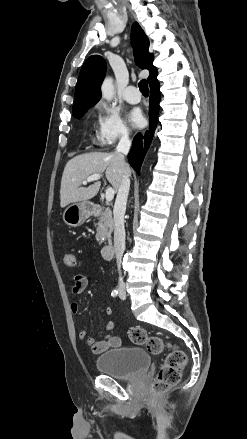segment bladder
<instances>
[{
	"label": "bladder",
	"instance_id": "1",
	"mask_svg": "<svg viewBox=\"0 0 247 439\" xmlns=\"http://www.w3.org/2000/svg\"><path fill=\"white\" fill-rule=\"evenodd\" d=\"M151 357L142 348L121 347L111 349L96 359L97 370L120 380H133L147 371Z\"/></svg>",
	"mask_w": 247,
	"mask_h": 439
}]
</instances>
